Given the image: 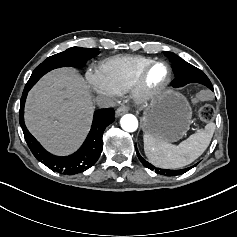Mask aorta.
<instances>
[{
	"label": "aorta",
	"instance_id": "obj_1",
	"mask_svg": "<svg viewBox=\"0 0 237 237\" xmlns=\"http://www.w3.org/2000/svg\"><path fill=\"white\" fill-rule=\"evenodd\" d=\"M121 127L124 131L133 133L138 129V120L132 114H126L121 118Z\"/></svg>",
	"mask_w": 237,
	"mask_h": 237
}]
</instances>
